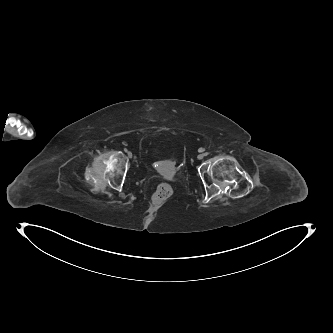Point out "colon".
<instances>
[{"label":"colon","mask_w":333,"mask_h":333,"mask_svg":"<svg viewBox=\"0 0 333 333\" xmlns=\"http://www.w3.org/2000/svg\"><path fill=\"white\" fill-rule=\"evenodd\" d=\"M173 194V189L168 184H160L152 195V204L155 207L162 206Z\"/></svg>","instance_id":"1"}]
</instances>
